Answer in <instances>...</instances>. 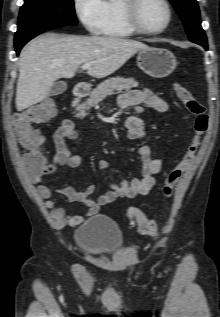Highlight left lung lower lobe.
<instances>
[{"mask_svg":"<svg viewBox=\"0 0 220 317\" xmlns=\"http://www.w3.org/2000/svg\"><path fill=\"white\" fill-rule=\"evenodd\" d=\"M197 44H199V43H197ZM199 45L203 46L207 50V42L206 43L200 42Z\"/></svg>","mask_w":220,"mask_h":317,"instance_id":"left-lung-lower-lobe-1","label":"left lung lower lobe"}]
</instances>
